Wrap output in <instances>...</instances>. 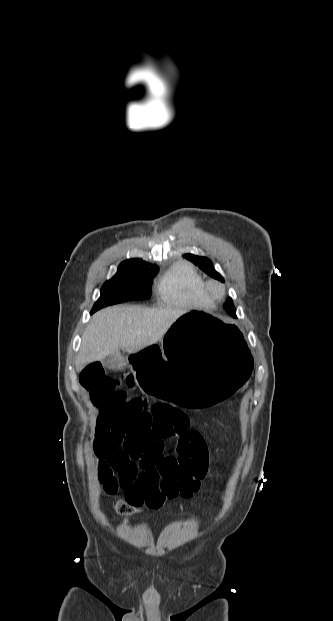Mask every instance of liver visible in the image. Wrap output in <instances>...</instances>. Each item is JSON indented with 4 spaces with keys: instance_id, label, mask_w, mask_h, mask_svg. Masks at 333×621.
I'll return each instance as SVG.
<instances>
[{
    "instance_id": "1",
    "label": "liver",
    "mask_w": 333,
    "mask_h": 621,
    "mask_svg": "<svg viewBox=\"0 0 333 621\" xmlns=\"http://www.w3.org/2000/svg\"><path fill=\"white\" fill-rule=\"evenodd\" d=\"M185 313L181 309L113 306L92 316L83 335L76 366L103 360L120 349L138 352L158 342Z\"/></svg>"
}]
</instances>
